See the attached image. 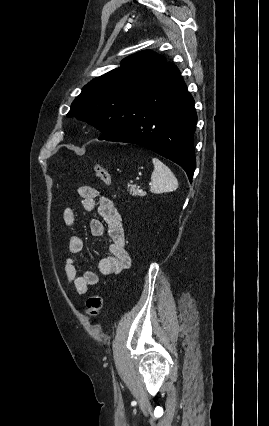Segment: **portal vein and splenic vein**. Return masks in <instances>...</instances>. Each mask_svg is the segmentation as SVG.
<instances>
[{"instance_id":"portal-vein-and-splenic-vein-1","label":"portal vein and splenic vein","mask_w":269,"mask_h":426,"mask_svg":"<svg viewBox=\"0 0 269 426\" xmlns=\"http://www.w3.org/2000/svg\"><path fill=\"white\" fill-rule=\"evenodd\" d=\"M139 192H140V193H143V190H142V189H140V190H139ZM144 194H145V193H144Z\"/></svg>"}]
</instances>
